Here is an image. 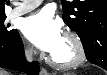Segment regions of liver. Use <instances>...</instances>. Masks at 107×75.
Wrapping results in <instances>:
<instances>
[{
	"label": "liver",
	"mask_w": 107,
	"mask_h": 75,
	"mask_svg": "<svg viewBox=\"0 0 107 75\" xmlns=\"http://www.w3.org/2000/svg\"><path fill=\"white\" fill-rule=\"evenodd\" d=\"M0 75H8V73L5 72L4 70H1V71H0Z\"/></svg>",
	"instance_id": "1"
}]
</instances>
